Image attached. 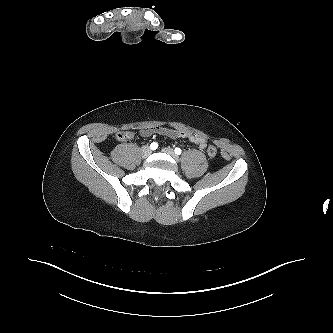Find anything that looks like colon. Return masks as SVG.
<instances>
[{
  "label": "colon",
  "instance_id": "obj_1",
  "mask_svg": "<svg viewBox=\"0 0 333 333\" xmlns=\"http://www.w3.org/2000/svg\"><path fill=\"white\" fill-rule=\"evenodd\" d=\"M116 137L120 141H128V140H131L134 137V135L132 132L122 131V132L117 133ZM216 154H217V148L214 145H209L207 147V155L210 158H213L216 156Z\"/></svg>",
  "mask_w": 333,
  "mask_h": 333
}]
</instances>
